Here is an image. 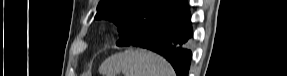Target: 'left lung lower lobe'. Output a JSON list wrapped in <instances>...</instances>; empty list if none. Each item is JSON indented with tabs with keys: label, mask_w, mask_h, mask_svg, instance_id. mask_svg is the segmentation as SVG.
<instances>
[{
	"label": "left lung lower lobe",
	"mask_w": 287,
	"mask_h": 76,
	"mask_svg": "<svg viewBox=\"0 0 287 76\" xmlns=\"http://www.w3.org/2000/svg\"><path fill=\"white\" fill-rule=\"evenodd\" d=\"M190 20L186 1L183 8L162 19L130 45L147 48L164 56L177 76H188L192 54L187 46L193 35Z\"/></svg>",
	"instance_id": "0a47b994"
}]
</instances>
